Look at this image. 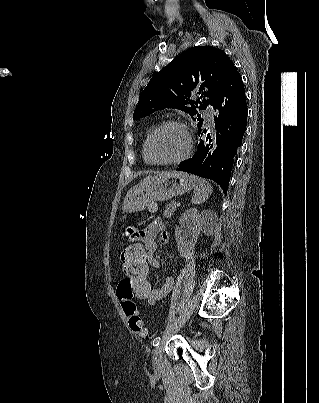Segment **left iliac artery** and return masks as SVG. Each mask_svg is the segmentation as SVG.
<instances>
[{
    "instance_id": "obj_1",
    "label": "left iliac artery",
    "mask_w": 319,
    "mask_h": 403,
    "mask_svg": "<svg viewBox=\"0 0 319 403\" xmlns=\"http://www.w3.org/2000/svg\"><path fill=\"white\" fill-rule=\"evenodd\" d=\"M160 341H161V337H156V338L153 340L152 345H153L154 347H156V346L159 345Z\"/></svg>"
}]
</instances>
